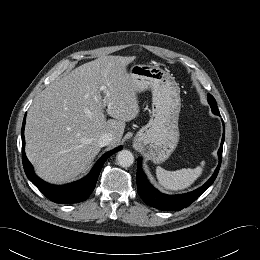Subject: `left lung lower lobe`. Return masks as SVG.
<instances>
[{
  "mask_svg": "<svg viewBox=\"0 0 260 260\" xmlns=\"http://www.w3.org/2000/svg\"><path fill=\"white\" fill-rule=\"evenodd\" d=\"M223 121V120H222ZM225 133L223 132L222 141L220 148L218 150L219 155V165L217 166L212 177L200 188L182 195H165L156 190L147 180L144 172L141 169V160L138 159V169H137V187L138 194L142 200L152 207L160 210L167 211H180L183 208L188 207L192 202H194L203 192H205L214 182L217 177L219 167L222 160V149L224 143Z\"/></svg>",
  "mask_w": 260,
  "mask_h": 260,
  "instance_id": "obj_1",
  "label": "left lung lower lobe"
}]
</instances>
